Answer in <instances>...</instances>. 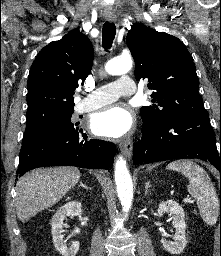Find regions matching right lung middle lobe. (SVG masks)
<instances>
[{
  "label": "right lung middle lobe",
  "mask_w": 221,
  "mask_h": 256,
  "mask_svg": "<svg viewBox=\"0 0 221 256\" xmlns=\"http://www.w3.org/2000/svg\"><path fill=\"white\" fill-rule=\"evenodd\" d=\"M73 107H46L27 112L25 136L48 125L71 122Z\"/></svg>",
  "instance_id": "1"
}]
</instances>
